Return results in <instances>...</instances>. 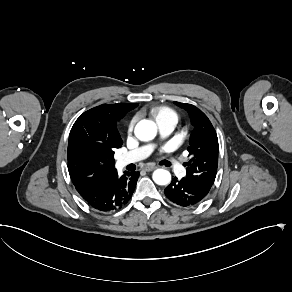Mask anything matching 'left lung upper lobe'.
<instances>
[{
  "mask_svg": "<svg viewBox=\"0 0 292 292\" xmlns=\"http://www.w3.org/2000/svg\"><path fill=\"white\" fill-rule=\"evenodd\" d=\"M184 108L190 116L193 131L190 135L189 156L187 162L185 181L210 190L218 167V138L216 131L208 117L196 106L175 102Z\"/></svg>",
  "mask_w": 292,
  "mask_h": 292,
  "instance_id": "obj_1",
  "label": "left lung upper lobe"
}]
</instances>
